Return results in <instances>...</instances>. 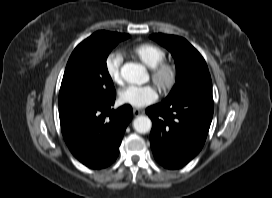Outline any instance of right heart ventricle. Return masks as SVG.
I'll use <instances>...</instances> for the list:
<instances>
[{
    "instance_id": "obj_1",
    "label": "right heart ventricle",
    "mask_w": 272,
    "mask_h": 198,
    "mask_svg": "<svg viewBox=\"0 0 272 198\" xmlns=\"http://www.w3.org/2000/svg\"><path fill=\"white\" fill-rule=\"evenodd\" d=\"M130 53L148 67H153L165 59L166 52L158 45L144 42L130 48Z\"/></svg>"
}]
</instances>
